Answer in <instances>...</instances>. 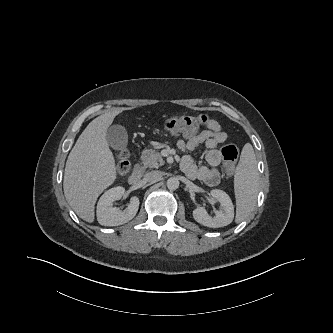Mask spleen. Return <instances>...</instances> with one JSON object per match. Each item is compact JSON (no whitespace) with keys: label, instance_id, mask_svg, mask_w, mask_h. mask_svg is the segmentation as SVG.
<instances>
[{"label":"spleen","instance_id":"spleen-1","mask_svg":"<svg viewBox=\"0 0 333 333\" xmlns=\"http://www.w3.org/2000/svg\"><path fill=\"white\" fill-rule=\"evenodd\" d=\"M259 173L253 147L250 143L242 149L234 175L236 222L243 221L254 209L258 194Z\"/></svg>","mask_w":333,"mask_h":333}]
</instances>
